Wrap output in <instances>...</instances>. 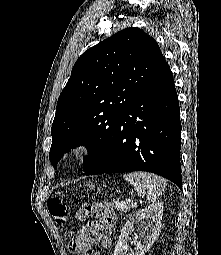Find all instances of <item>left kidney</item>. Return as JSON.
Returning <instances> with one entry per match:
<instances>
[{
	"instance_id": "obj_1",
	"label": "left kidney",
	"mask_w": 221,
	"mask_h": 255,
	"mask_svg": "<svg viewBox=\"0 0 221 255\" xmlns=\"http://www.w3.org/2000/svg\"><path fill=\"white\" fill-rule=\"evenodd\" d=\"M163 216V204L156 203L142 210L131 214L128 221L121 229L119 240L115 246L114 255H145L155 242L160 229ZM134 224H137V231L142 237V242L137 240L138 235L132 241L129 235L134 232ZM135 245L134 249H129L127 242Z\"/></svg>"
}]
</instances>
